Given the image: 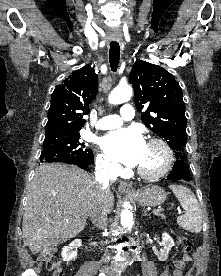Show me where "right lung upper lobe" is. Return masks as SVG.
<instances>
[{
    "label": "right lung upper lobe",
    "mask_w": 221,
    "mask_h": 276,
    "mask_svg": "<svg viewBox=\"0 0 221 276\" xmlns=\"http://www.w3.org/2000/svg\"><path fill=\"white\" fill-rule=\"evenodd\" d=\"M97 78L94 69L87 64L55 87L45 135L78 132L84 127L82 117L89 113V104L95 99Z\"/></svg>",
    "instance_id": "1"
}]
</instances>
